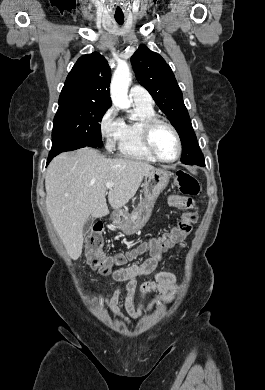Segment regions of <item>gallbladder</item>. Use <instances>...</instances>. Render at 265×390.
Instances as JSON below:
<instances>
[{
	"instance_id": "obj_1",
	"label": "gallbladder",
	"mask_w": 265,
	"mask_h": 390,
	"mask_svg": "<svg viewBox=\"0 0 265 390\" xmlns=\"http://www.w3.org/2000/svg\"><path fill=\"white\" fill-rule=\"evenodd\" d=\"M93 223H94V217L89 216L88 219L86 220L84 226H83V234H88L90 232Z\"/></svg>"
}]
</instances>
